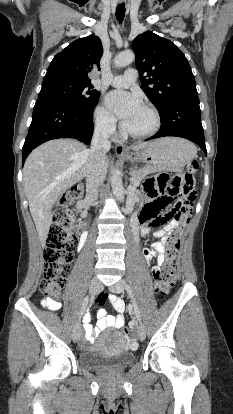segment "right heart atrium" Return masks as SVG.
Instances as JSON below:
<instances>
[{"instance_id":"right-heart-atrium-1","label":"right heart atrium","mask_w":233,"mask_h":414,"mask_svg":"<svg viewBox=\"0 0 233 414\" xmlns=\"http://www.w3.org/2000/svg\"><path fill=\"white\" fill-rule=\"evenodd\" d=\"M95 129L102 135H111L116 126L113 115L102 105L98 104L93 111Z\"/></svg>"}]
</instances>
